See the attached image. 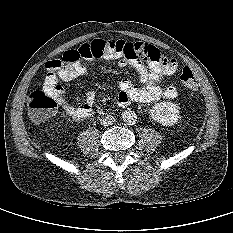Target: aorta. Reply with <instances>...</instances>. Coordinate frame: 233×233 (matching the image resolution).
I'll return each mask as SVG.
<instances>
[{
	"label": "aorta",
	"mask_w": 233,
	"mask_h": 233,
	"mask_svg": "<svg viewBox=\"0 0 233 233\" xmlns=\"http://www.w3.org/2000/svg\"><path fill=\"white\" fill-rule=\"evenodd\" d=\"M123 121L126 124L132 125L136 122V114L133 111L127 110L122 113Z\"/></svg>",
	"instance_id": "obj_1"
}]
</instances>
